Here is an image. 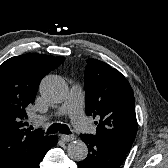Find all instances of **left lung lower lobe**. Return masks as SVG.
I'll use <instances>...</instances> for the list:
<instances>
[{
  "label": "left lung lower lobe",
  "mask_w": 168,
  "mask_h": 168,
  "mask_svg": "<svg viewBox=\"0 0 168 168\" xmlns=\"http://www.w3.org/2000/svg\"><path fill=\"white\" fill-rule=\"evenodd\" d=\"M80 138L88 147V156L78 162L79 168H119L128 153L124 148L91 134H81Z\"/></svg>",
  "instance_id": "left-lung-lower-lobe-1"
}]
</instances>
